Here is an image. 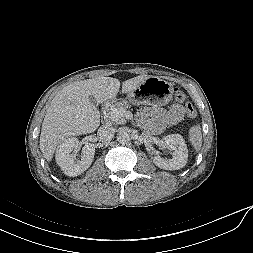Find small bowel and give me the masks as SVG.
Segmentation results:
<instances>
[{
    "instance_id": "1",
    "label": "small bowel",
    "mask_w": 253,
    "mask_h": 253,
    "mask_svg": "<svg viewBox=\"0 0 253 253\" xmlns=\"http://www.w3.org/2000/svg\"><path fill=\"white\" fill-rule=\"evenodd\" d=\"M184 115V108L174 104L169 110L162 108H145L141 111V117L150 121L151 130L160 133L166 126L178 123Z\"/></svg>"
}]
</instances>
